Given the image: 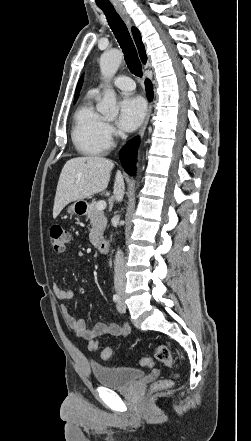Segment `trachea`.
Masks as SVG:
<instances>
[{
  "instance_id": "trachea-1",
  "label": "trachea",
  "mask_w": 251,
  "mask_h": 441,
  "mask_svg": "<svg viewBox=\"0 0 251 441\" xmlns=\"http://www.w3.org/2000/svg\"><path fill=\"white\" fill-rule=\"evenodd\" d=\"M106 15L110 28L112 29L123 53L128 69L135 76H142V65L138 58L135 45L130 33L114 8H101Z\"/></svg>"
}]
</instances>
